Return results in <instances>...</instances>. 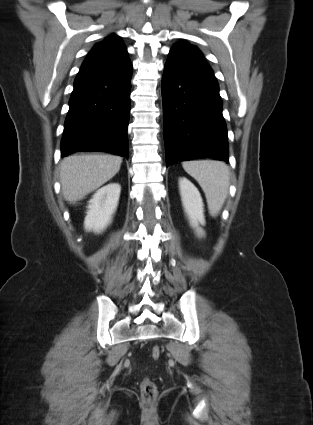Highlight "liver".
<instances>
[{
  "instance_id": "obj_1",
  "label": "liver",
  "mask_w": 313,
  "mask_h": 425,
  "mask_svg": "<svg viewBox=\"0 0 313 425\" xmlns=\"http://www.w3.org/2000/svg\"><path fill=\"white\" fill-rule=\"evenodd\" d=\"M122 158L107 154H81L63 159L60 170L62 194L70 204L82 200L119 172Z\"/></svg>"
}]
</instances>
